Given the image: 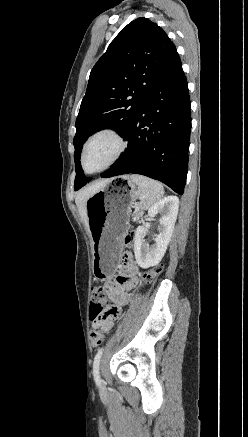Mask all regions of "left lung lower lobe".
<instances>
[{"label":"left lung lower lobe","mask_w":248,"mask_h":437,"mask_svg":"<svg viewBox=\"0 0 248 437\" xmlns=\"http://www.w3.org/2000/svg\"><path fill=\"white\" fill-rule=\"evenodd\" d=\"M187 80L178 57L143 101L126 135L128 148L101 177L141 174L182 195L191 130Z\"/></svg>","instance_id":"1"}]
</instances>
